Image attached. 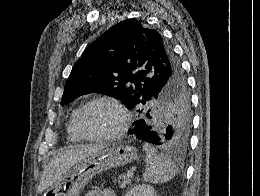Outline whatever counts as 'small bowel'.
I'll use <instances>...</instances> for the list:
<instances>
[{
    "instance_id": "1",
    "label": "small bowel",
    "mask_w": 260,
    "mask_h": 196,
    "mask_svg": "<svg viewBox=\"0 0 260 196\" xmlns=\"http://www.w3.org/2000/svg\"><path fill=\"white\" fill-rule=\"evenodd\" d=\"M86 196H115V194L111 189H92L86 194Z\"/></svg>"
}]
</instances>
